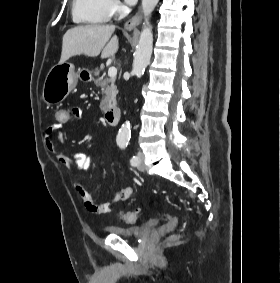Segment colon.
<instances>
[{"mask_svg":"<svg viewBox=\"0 0 280 283\" xmlns=\"http://www.w3.org/2000/svg\"><path fill=\"white\" fill-rule=\"evenodd\" d=\"M55 122L58 125H69L72 122L73 114H69V108L59 107L54 111ZM123 220L128 224H134L139 219V214L137 211L125 212L122 215Z\"/></svg>","mask_w":280,"mask_h":283,"instance_id":"colon-1","label":"colon"}]
</instances>
